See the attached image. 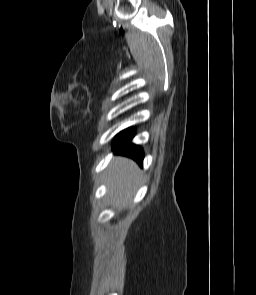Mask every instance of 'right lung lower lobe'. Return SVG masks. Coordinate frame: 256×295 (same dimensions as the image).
<instances>
[{"label":"right lung lower lobe","instance_id":"obj_1","mask_svg":"<svg viewBox=\"0 0 256 295\" xmlns=\"http://www.w3.org/2000/svg\"><path fill=\"white\" fill-rule=\"evenodd\" d=\"M133 136L134 129L132 128L120 132L115 137L113 149L122 155L133 158L142 165L144 153L141 147L131 143Z\"/></svg>","mask_w":256,"mask_h":295}]
</instances>
